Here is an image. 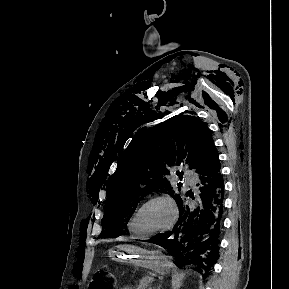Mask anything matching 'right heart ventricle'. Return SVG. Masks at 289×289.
Listing matches in <instances>:
<instances>
[{
    "mask_svg": "<svg viewBox=\"0 0 289 289\" xmlns=\"http://www.w3.org/2000/svg\"><path fill=\"white\" fill-rule=\"evenodd\" d=\"M131 219H132V217L130 218V220H129V222H128V230H129V232H130V234L133 236V237H140V235L139 234H137L134 230H133V228H132V225H131Z\"/></svg>",
    "mask_w": 289,
    "mask_h": 289,
    "instance_id": "right-heart-ventricle-1",
    "label": "right heart ventricle"
}]
</instances>
